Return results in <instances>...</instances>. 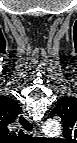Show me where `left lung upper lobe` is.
<instances>
[{
	"mask_svg": "<svg viewBox=\"0 0 77 143\" xmlns=\"http://www.w3.org/2000/svg\"><path fill=\"white\" fill-rule=\"evenodd\" d=\"M52 116H58L64 123V136L68 139L77 134V98L63 97L57 101L56 107L51 112Z\"/></svg>",
	"mask_w": 77,
	"mask_h": 143,
	"instance_id": "obj_1",
	"label": "left lung upper lobe"
}]
</instances>
